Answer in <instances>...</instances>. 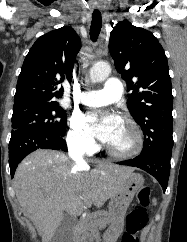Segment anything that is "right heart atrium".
I'll return each instance as SVG.
<instances>
[{
  "label": "right heart atrium",
  "mask_w": 187,
  "mask_h": 242,
  "mask_svg": "<svg viewBox=\"0 0 187 242\" xmlns=\"http://www.w3.org/2000/svg\"><path fill=\"white\" fill-rule=\"evenodd\" d=\"M67 142L70 149L77 153L90 154L95 150L96 143L82 115L75 114L70 118Z\"/></svg>",
  "instance_id": "right-heart-atrium-1"
}]
</instances>
